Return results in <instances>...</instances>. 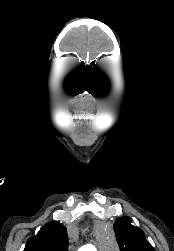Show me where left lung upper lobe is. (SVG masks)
<instances>
[{
  "label": "left lung upper lobe",
  "mask_w": 174,
  "mask_h": 251,
  "mask_svg": "<svg viewBox=\"0 0 174 251\" xmlns=\"http://www.w3.org/2000/svg\"><path fill=\"white\" fill-rule=\"evenodd\" d=\"M114 231L120 251H155L146 240L144 232L133 226L127 216L116 220Z\"/></svg>",
  "instance_id": "obj_1"
}]
</instances>
